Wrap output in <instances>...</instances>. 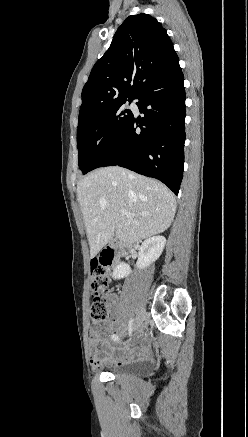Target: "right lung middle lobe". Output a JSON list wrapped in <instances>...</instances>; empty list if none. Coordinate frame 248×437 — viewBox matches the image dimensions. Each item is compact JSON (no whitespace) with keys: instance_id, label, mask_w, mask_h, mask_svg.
<instances>
[{"instance_id":"dd1d6c3e","label":"right lung middle lobe","mask_w":248,"mask_h":437,"mask_svg":"<svg viewBox=\"0 0 248 437\" xmlns=\"http://www.w3.org/2000/svg\"><path fill=\"white\" fill-rule=\"evenodd\" d=\"M133 99L119 101L78 125V162L83 174L92 170L93 164L113 145L132 120L133 113L124 103Z\"/></svg>"}]
</instances>
